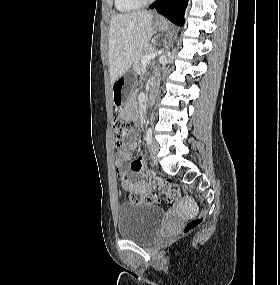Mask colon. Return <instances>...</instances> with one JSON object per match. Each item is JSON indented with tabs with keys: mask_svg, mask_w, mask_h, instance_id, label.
I'll return each instance as SVG.
<instances>
[{
	"mask_svg": "<svg viewBox=\"0 0 280 285\" xmlns=\"http://www.w3.org/2000/svg\"><path fill=\"white\" fill-rule=\"evenodd\" d=\"M129 130H130V125L125 119L119 116L113 119L112 136H113V143L115 146L120 147L123 145L124 140L129 133ZM146 175L148 179L152 181L153 184L159 190L165 193L166 195L165 202L168 205H173L179 196L178 188L174 184L168 181L162 180L160 178H155L153 173L149 170L146 172ZM129 200L134 204H138L141 202H152L155 200V198H153L152 196H145L138 193H131L129 194ZM204 218H205V212H201L199 215L190 219L184 227V232L190 233L194 231L196 228L201 226V224L204 221Z\"/></svg>",
	"mask_w": 280,
	"mask_h": 285,
	"instance_id": "obj_1",
	"label": "colon"
}]
</instances>
